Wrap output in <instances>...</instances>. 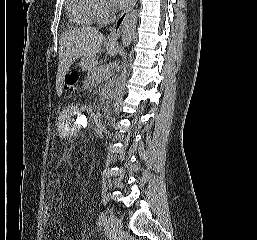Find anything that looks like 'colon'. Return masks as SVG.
Here are the masks:
<instances>
[{
    "mask_svg": "<svg viewBox=\"0 0 257 240\" xmlns=\"http://www.w3.org/2000/svg\"><path fill=\"white\" fill-rule=\"evenodd\" d=\"M79 82V73L75 70L68 72L64 79L65 88L68 90H75ZM52 216V207L50 202H46L43 206L42 220L43 225L46 227Z\"/></svg>",
    "mask_w": 257,
    "mask_h": 240,
    "instance_id": "colon-1",
    "label": "colon"
}]
</instances>
